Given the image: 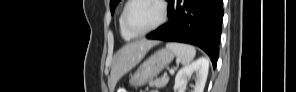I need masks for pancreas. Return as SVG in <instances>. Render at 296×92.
Here are the masks:
<instances>
[{"label":"pancreas","mask_w":296,"mask_h":92,"mask_svg":"<svg viewBox=\"0 0 296 92\" xmlns=\"http://www.w3.org/2000/svg\"><path fill=\"white\" fill-rule=\"evenodd\" d=\"M169 81V77L166 76V77H161V78H158V79H155V80H151L149 81V86L150 87H156V88H163L167 85Z\"/></svg>","instance_id":"cf45deb5"}]
</instances>
